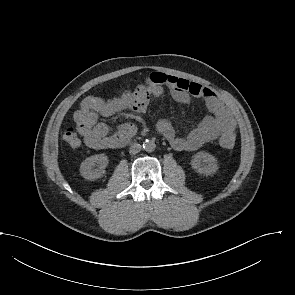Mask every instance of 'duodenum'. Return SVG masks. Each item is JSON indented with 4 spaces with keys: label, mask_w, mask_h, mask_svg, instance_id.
Wrapping results in <instances>:
<instances>
[{
    "label": "duodenum",
    "mask_w": 295,
    "mask_h": 295,
    "mask_svg": "<svg viewBox=\"0 0 295 295\" xmlns=\"http://www.w3.org/2000/svg\"><path fill=\"white\" fill-rule=\"evenodd\" d=\"M125 143H126V140H121V141L118 142V145H123Z\"/></svg>",
    "instance_id": "obj_1"
}]
</instances>
